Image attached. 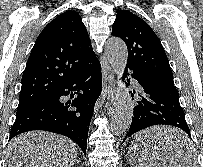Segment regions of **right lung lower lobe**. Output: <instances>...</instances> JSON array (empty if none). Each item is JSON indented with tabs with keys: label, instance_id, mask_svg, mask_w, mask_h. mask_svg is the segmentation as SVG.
Here are the masks:
<instances>
[{
	"label": "right lung lower lobe",
	"instance_id": "obj_1",
	"mask_svg": "<svg viewBox=\"0 0 203 167\" xmlns=\"http://www.w3.org/2000/svg\"><path fill=\"white\" fill-rule=\"evenodd\" d=\"M101 85V65L97 59L72 75L48 100L17 110L9 140L23 132L45 130L71 138L85 154L89 125ZM64 95L75 98L62 102L60 98Z\"/></svg>",
	"mask_w": 203,
	"mask_h": 167
}]
</instances>
